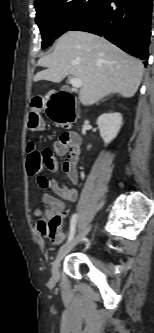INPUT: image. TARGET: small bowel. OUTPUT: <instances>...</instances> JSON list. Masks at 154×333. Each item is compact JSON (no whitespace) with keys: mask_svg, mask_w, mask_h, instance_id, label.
Wrapping results in <instances>:
<instances>
[{"mask_svg":"<svg viewBox=\"0 0 154 333\" xmlns=\"http://www.w3.org/2000/svg\"><path fill=\"white\" fill-rule=\"evenodd\" d=\"M80 145L81 138L78 134L73 132L63 133L54 142L52 148H45L41 152L43 165L51 172H57L58 163L55 156H65L63 170L70 182L73 185H77L79 181L77 163L80 154ZM37 182L42 189L50 191L44 193L42 196L44 204L51 211L60 214L62 219L67 214L64 202H75L78 198V190L75 187H67L54 178H47L45 176H38ZM60 234V239L55 241L57 243L61 242L65 237L64 233L60 232Z\"/></svg>","mask_w":154,"mask_h":333,"instance_id":"c3829d8e","label":"small bowel"}]
</instances>
